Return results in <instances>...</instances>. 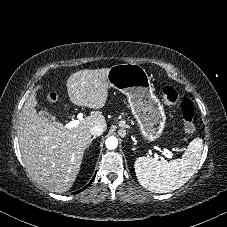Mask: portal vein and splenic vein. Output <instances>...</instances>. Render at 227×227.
Here are the masks:
<instances>
[{
    "mask_svg": "<svg viewBox=\"0 0 227 227\" xmlns=\"http://www.w3.org/2000/svg\"><path fill=\"white\" fill-rule=\"evenodd\" d=\"M81 120H83V114L78 113L77 120L70 121L69 123H67L65 125V127L68 128V129H72V128L76 127L80 123ZM163 154L168 158H172V156H173V153L171 151L167 150V149H165L163 151ZM155 158L159 159V156L157 154H155Z\"/></svg>",
    "mask_w": 227,
    "mask_h": 227,
    "instance_id": "obj_1",
    "label": "portal vein and splenic vein"
}]
</instances>
